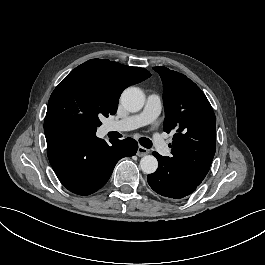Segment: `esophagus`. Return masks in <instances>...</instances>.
<instances>
[{
    "instance_id": "esophagus-1",
    "label": "esophagus",
    "mask_w": 265,
    "mask_h": 265,
    "mask_svg": "<svg viewBox=\"0 0 265 265\" xmlns=\"http://www.w3.org/2000/svg\"><path fill=\"white\" fill-rule=\"evenodd\" d=\"M149 153V150L147 148H144L143 146L139 145L136 155L139 157L145 156Z\"/></svg>"
}]
</instances>
